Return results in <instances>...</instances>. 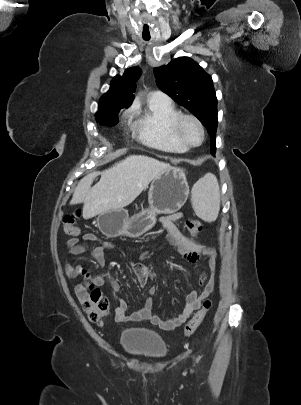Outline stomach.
Masks as SVG:
<instances>
[{
  "label": "stomach",
  "mask_w": 301,
  "mask_h": 405,
  "mask_svg": "<svg viewBox=\"0 0 301 405\" xmlns=\"http://www.w3.org/2000/svg\"><path fill=\"white\" fill-rule=\"evenodd\" d=\"M189 195L186 170L168 166L158 174L149 188V209L131 217L124 210H111L98 217L101 229L111 235L136 238L151 229L156 214H172L181 209Z\"/></svg>",
  "instance_id": "obj_1"
}]
</instances>
